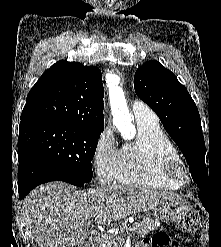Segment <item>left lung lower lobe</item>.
Segmentation results:
<instances>
[{
	"label": "left lung lower lobe",
	"mask_w": 221,
	"mask_h": 247,
	"mask_svg": "<svg viewBox=\"0 0 221 247\" xmlns=\"http://www.w3.org/2000/svg\"><path fill=\"white\" fill-rule=\"evenodd\" d=\"M198 197L200 198L203 206L208 209L209 201H210V192L209 190H201L198 192Z\"/></svg>",
	"instance_id": "left-lung-lower-lobe-1"
}]
</instances>
